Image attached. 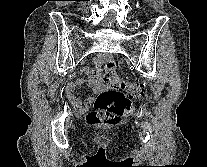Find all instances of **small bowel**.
<instances>
[{
	"instance_id": "small-bowel-1",
	"label": "small bowel",
	"mask_w": 207,
	"mask_h": 167,
	"mask_svg": "<svg viewBox=\"0 0 207 167\" xmlns=\"http://www.w3.org/2000/svg\"><path fill=\"white\" fill-rule=\"evenodd\" d=\"M81 84H87L91 87L92 91L94 93L98 92L101 88V83L94 78H78L75 81L69 82L66 86V95L72 106L78 111V112H84L88 107L91 106L93 103L94 97L90 96L85 99L84 102H81L74 94V91L77 86Z\"/></svg>"
}]
</instances>
